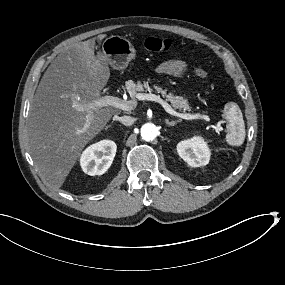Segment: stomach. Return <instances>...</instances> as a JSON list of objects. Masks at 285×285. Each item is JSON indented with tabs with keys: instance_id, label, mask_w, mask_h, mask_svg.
I'll return each instance as SVG.
<instances>
[{
	"instance_id": "0dacf381",
	"label": "stomach",
	"mask_w": 285,
	"mask_h": 285,
	"mask_svg": "<svg viewBox=\"0 0 285 285\" xmlns=\"http://www.w3.org/2000/svg\"><path fill=\"white\" fill-rule=\"evenodd\" d=\"M102 52L114 69H125L135 58V48L129 40L118 35L106 38L102 43Z\"/></svg>"
}]
</instances>
